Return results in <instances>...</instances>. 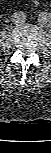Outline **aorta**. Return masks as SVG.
Instances as JSON below:
<instances>
[{"mask_svg":"<svg viewBox=\"0 0 51 153\" xmlns=\"http://www.w3.org/2000/svg\"><path fill=\"white\" fill-rule=\"evenodd\" d=\"M37 21L41 23V26L44 28H50L51 27V14H48L47 12H42L38 17Z\"/></svg>","mask_w":51,"mask_h":153,"instance_id":"762f6f07","label":"aorta"}]
</instances>
